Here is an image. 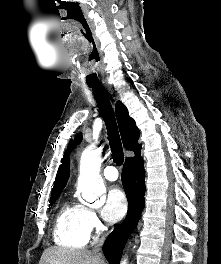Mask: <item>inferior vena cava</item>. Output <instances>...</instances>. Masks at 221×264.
Listing matches in <instances>:
<instances>
[{"instance_id":"inferior-vena-cava-1","label":"inferior vena cava","mask_w":221,"mask_h":264,"mask_svg":"<svg viewBox=\"0 0 221 264\" xmlns=\"http://www.w3.org/2000/svg\"><path fill=\"white\" fill-rule=\"evenodd\" d=\"M105 241V236H102L100 239H99V242L98 244L94 247L93 249V253H95L97 256L99 257H102V252H101V247L103 245Z\"/></svg>"}]
</instances>
